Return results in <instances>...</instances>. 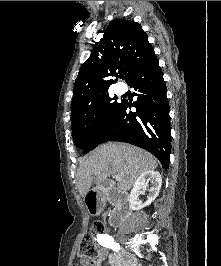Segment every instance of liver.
I'll list each match as a JSON object with an SVG mask.
<instances>
[{"instance_id": "1", "label": "liver", "mask_w": 221, "mask_h": 266, "mask_svg": "<svg viewBox=\"0 0 221 266\" xmlns=\"http://www.w3.org/2000/svg\"><path fill=\"white\" fill-rule=\"evenodd\" d=\"M157 166V159L139 147L125 143H107L97 147L80 163L76 186L80 195L85 197V192L90 189L93 181L100 185L107 177L120 175L117 189L126 192L142 173L154 170ZM114 185L115 182H110V186Z\"/></svg>"}]
</instances>
